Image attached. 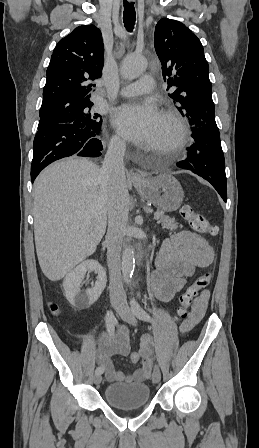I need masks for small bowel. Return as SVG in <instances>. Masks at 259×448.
<instances>
[{
  "mask_svg": "<svg viewBox=\"0 0 259 448\" xmlns=\"http://www.w3.org/2000/svg\"><path fill=\"white\" fill-rule=\"evenodd\" d=\"M215 257L213 247L198 234L181 231L165 239L160 246L156 258V269L151 275L150 287L153 294L161 301L171 300L186 285V278L190 277L196 267L209 266ZM210 293L202 291L197 297L187 320L180 331L186 333L198 324L206 312ZM130 344L128 329L121 325L116 335H104L100 339L97 350V362L104 367L108 382L126 381L139 383L150 378L153 368L148 339H144L140 348L142 367L125 376L123 371L117 370L112 364L114 355L128 356Z\"/></svg>",
  "mask_w": 259,
  "mask_h": 448,
  "instance_id": "small-bowel-1",
  "label": "small bowel"
}]
</instances>
